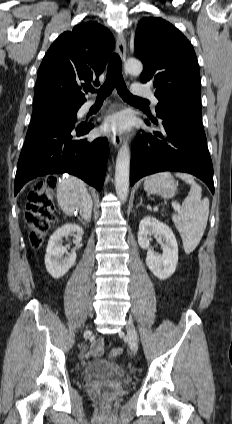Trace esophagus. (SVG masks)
Masks as SVG:
<instances>
[{"instance_id": "obj_1", "label": "esophagus", "mask_w": 232, "mask_h": 424, "mask_svg": "<svg viewBox=\"0 0 232 424\" xmlns=\"http://www.w3.org/2000/svg\"><path fill=\"white\" fill-rule=\"evenodd\" d=\"M116 47H117V52H118V54H119V56H120V58L122 60V63L124 64L125 63V60H126L127 48H126V41H125V39H124V37H123L122 34H118L117 35ZM124 76L126 78L128 77V74H127V72L125 70H124ZM111 142H112V144L116 148H118L121 145V143H122V137H121V135L119 133L113 134L111 136Z\"/></svg>"}]
</instances>
